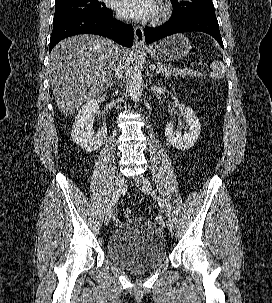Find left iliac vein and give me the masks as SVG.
Wrapping results in <instances>:
<instances>
[{
	"label": "left iliac vein",
	"mask_w": 272,
	"mask_h": 303,
	"mask_svg": "<svg viewBox=\"0 0 272 303\" xmlns=\"http://www.w3.org/2000/svg\"><path fill=\"white\" fill-rule=\"evenodd\" d=\"M135 182H136V185L138 186V188L143 193L148 194V195L153 193L150 181L146 177H144L143 175L137 176L135 178ZM167 227H168V230L170 231V233L174 232L173 222H171V223L167 222Z\"/></svg>",
	"instance_id": "left-iliac-vein-1"
}]
</instances>
